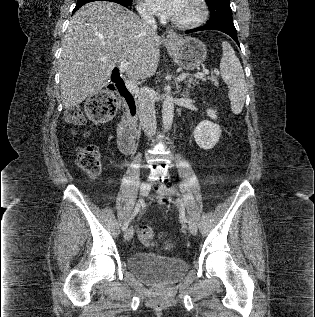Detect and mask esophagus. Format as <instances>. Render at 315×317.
<instances>
[{
    "label": "esophagus",
    "instance_id": "34e87169",
    "mask_svg": "<svg viewBox=\"0 0 315 317\" xmlns=\"http://www.w3.org/2000/svg\"><path fill=\"white\" fill-rule=\"evenodd\" d=\"M175 37V33L172 31V30H169V31H166L164 34H163V38L165 40H170V39H173Z\"/></svg>",
    "mask_w": 315,
    "mask_h": 317
}]
</instances>
